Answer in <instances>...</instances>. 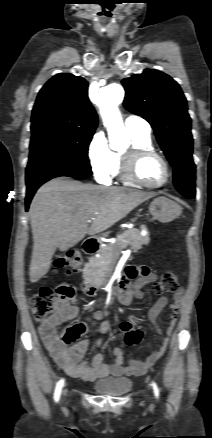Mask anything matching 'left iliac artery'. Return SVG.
<instances>
[{
  "label": "left iliac artery",
  "mask_w": 212,
  "mask_h": 438,
  "mask_svg": "<svg viewBox=\"0 0 212 438\" xmlns=\"http://www.w3.org/2000/svg\"><path fill=\"white\" fill-rule=\"evenodd\" d=\"M152 386H153L154 394L158 398L159 397V389H158L156 383L153 382Z\"/></svg>",
  "instance_id": "1"
}]
</instances>
